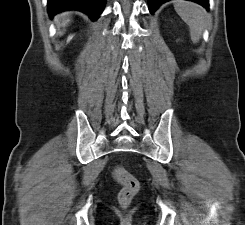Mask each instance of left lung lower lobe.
I'll return each instance as SVG.
<instances>
[{
    "mask_svg": "<svg viewBox=\"0 0 245 225\" xmlns=\"http://www.w3.org/2000/svg\"><path fill=\"white\" fill-rule=\"evenodd\" d=\"M167 1H169V0H148L150 13L153 14L162 3H165ZM189 1L197 2L200 5H202L203 7H205L206 9H208V7H209V1L208 0H189Z\"/></svg>",
    "mask_w": 245,
    "mask_h": 225,
    "instance_id": "obj_1",
    "label": "left lung lower lobe"
}]
</instances>
